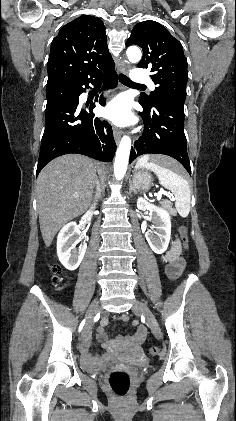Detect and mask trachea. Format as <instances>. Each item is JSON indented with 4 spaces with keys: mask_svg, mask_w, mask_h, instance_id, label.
<instances>
[{
    "mask_svg": "<svg viewBox=\"0 0 236 421\" xmlns=\"http://www.w3.org/2000/svg\"><path fill=\"white\" fill-rule=\"evenodd\" d=\"M119 81L123 83V85L130 86V87H143L145 89V85H142L141 83H135L130 78L126 77V75H123L122 73L119 74Z\"/></svg>",
    "mask_w": 236,
    "mask_h": 421,
    "instance_id": "1",
    "label": "trachea"
}]
</instances>
